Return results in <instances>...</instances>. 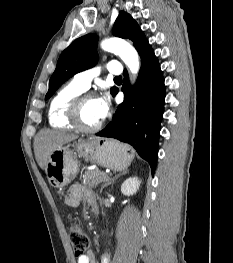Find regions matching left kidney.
<instances>
[{"mask_svg":"<svg viewBox=\"0 0 233 263\" xmlns=\"http://www.w3.org/2000/svg\"><path fill=\"white\" fill-rule=\"evenodd\" d=\"M140 186V181L137 177H130L126 179L121 185V192L125 196H131L137 192Z\"/></svg>","mask_w":233,"mask_h":263,"instance_id":"left-kidney-1","label":"left kidney"}]
</instances>
